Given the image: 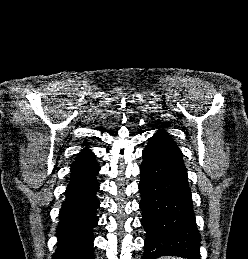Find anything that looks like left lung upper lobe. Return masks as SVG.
Segmentation results:
<instances>
[{"instance_id":"obj_1","label":"left lung upper lobe","mask_w":248,"mask_h":259,"mask_svg":"<svg viewBox=\"0 0 248 259\" xmlns=\"http://www.w3.org/2000/svg\"><path fill=\"white\" fill-rule=\"evenodd\" d=\"M150 140L158 141L163 144L168 145L169 147L179 149L175 142L172 140L171 136L163 131H159L156 135H154Z\"/></svg>"}]
</instances>
